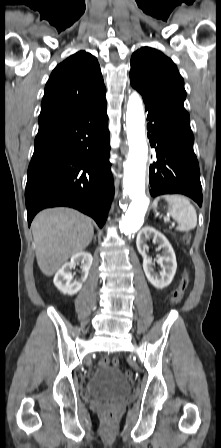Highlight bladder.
I'll list each match as a JSON object with an SVG mask.
<instances>
[{
	"instance_id": "obj_1",
	"label": "bladder",
	"mask_w": 221,
	"mask_h": 448,
	"mask_svg": "<svg viewBox=\"0 0 221 448\" xmlns=\"http://www.w3.org/2000/svg\"><path fill=\"white\" fill-rule=\"evenodd\" d=\"M86 392L93 398L119 400L130 392V382L118 368L101 367L86 384Z\"/></svg>"
}]
</instances>
